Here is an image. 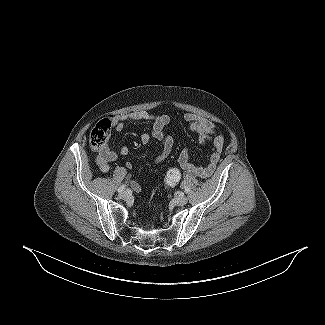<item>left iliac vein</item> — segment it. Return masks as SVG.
<instances>
[{"label": "left iliac vein", "mask_w": 325, "mask_h": 325, "mask_svg": "<svg viewBox=\"0 0 325 325\" xmlns=\"http://www.w3.org/2000/svg\"><path fill=\"white\" fill-rule=\"evenodd\" d=\"M188 199L186 196L184 195H181V196H178L174 199V203L178 206H183L187 203Z\"/></svg>", "instance_id": "4c4485c4"}]
</instances>
